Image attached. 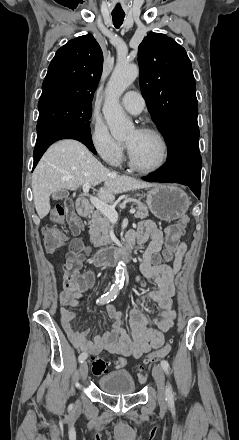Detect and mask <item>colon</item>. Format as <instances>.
<instances>
[{"label": "colon", "instance_id": "1", "mask_svg": "<svg viewBox=\"0 0 239 440\" xmlns=\"http://www.w3.org/2000/svg\"><path fill=\"white\" fill-rule=\"evenodd\" d=\"M53 219L57 222H63L67 220L70 224L72 231L79 233L82 229L81 220L76 213L72 202L68 201L63 206H59L53 213ZM190 224V217L188 215L182 216L179 221L171 225L167 230V237L165 243V250L163 256H172L175 249L178 246V241L183 235L185 229ZM63 235L56 229L48 228L44 231V244L47 252H55L62 243ZM83 249L81 242L77 241L72 245L71 251L67 256V261L64 265V274L71 280H77L78 274L83 265V258L80 252ZM171 349V342L168 341L162 348L146 355L142 364H148L150 362L157 361L158 359L166 356ZM123 366L126 362H121ZM92 371L95 375H103L108 371V363L102 357H96L92 363ZM138 378L140 381L146 379V373L142 366L139 367Z\"/></svg>", "mask_w": 239, "mask_h": 440}]
</instances>
